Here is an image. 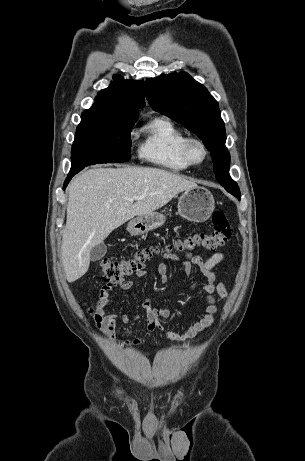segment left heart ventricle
<instances>
[{"label":"left heart ventricle","mask_w":305,"mask_h":461,"mask_svg":"<svg viewBox=\"0 0 305 461\" xmlns=\"http://www.w3.org/2000/svg\"><path fill=\"white\" fill-rule=\"evenodd\" d=\"M193 154H194L195 158L199 159L202 156V150L198 146H195L193 148Z\"/></svg>","instance_id":"obj_1"}]
</instances>
